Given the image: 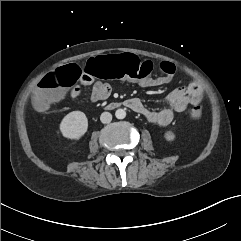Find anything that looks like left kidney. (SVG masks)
<instances>
[{
  "mask_svg": "<svg viewBox=\"0 0 241 241\" xmlns=\"http://www.w3.org/2000/svg\"><path fill=\"white\" fill-rule=\"evenodd\" d=\"M164 138L167 140V141H173L175 139V134L171 131H167L165 132L164 134Z\"/></svg>",
  "mask_w": 241,
  "mask_h": 241,
  "instance_id": "1",
  "label": "left kidney"
}]
</instances>
